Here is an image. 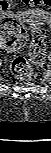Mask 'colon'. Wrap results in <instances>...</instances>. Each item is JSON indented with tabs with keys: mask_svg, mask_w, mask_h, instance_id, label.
I'll return each mask as SVG.
<instances>
[{
	"mask_svg": "<svg viewBox=\"0 0 51 153\" xmlns=\"http://www.w3.org/2000/svg\"><path fill=\"white\" fill-rule=\"evenodd\" d=\"M29 6H51V0H23ZM1 45L10 52H15L24 47L27 41L26 30L15 19H5L1 23ZM45 31L35 28L30 46V60L34 65H41L45 60L46 44ZM12 75L19 81H28L32 76V67L26 58L15 57L11 63Z\"/></svg>",
	"mask_w": 51,
	"mask_h": 153,
	"instance_id": "5ec220e1",
	"label": "colon"
}]
</instances>
